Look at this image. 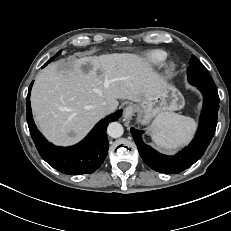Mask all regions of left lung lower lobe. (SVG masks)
<instances>
[{
    "label": "left lung lower lobe",
    "instance_id": "1",
    "mask_svg": "<svg viewBox=\"0 0 231 231\" xmlns=\"http://www.w3.org/2000/svg\"><path fill=\"white\" fill-rule=\"evenodd\" d=\"M196 87L204 97L199 127L192 142L176 155L166 156L157 152L143 142V131L131 128L130 131L142 159L153 170L166 174L180 173L200 159L210 144L216 130L220 99L217 89Z\"/></svg>",
    "mask_w": 231,
    "mask_h": 231
}]
</instances>
